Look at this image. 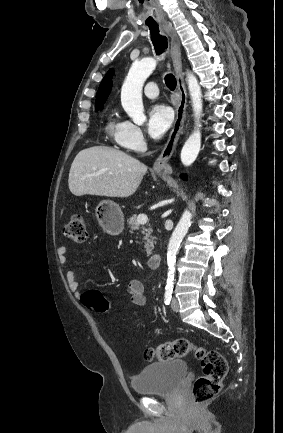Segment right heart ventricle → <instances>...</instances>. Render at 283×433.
Instances as JSON below:
<instances>
[{
  "label": "right heart ventricle",
  "instance_id": "e07e8e85",
  "mask_svg": "<svg viewBox=\"0 0 283 433\" xmlns=\"http://www.w3.org/2000/svg\"><path fill=\"white\" fill-rule=\"evenodd\" d=\"M121 123L117 122L114 113L108 115L105 123V130L110 134H116V132L120 129Z\"/></svg>",
  "mask_w": 283,
  "mask_h": 433
}]
</instances>
